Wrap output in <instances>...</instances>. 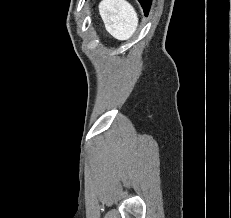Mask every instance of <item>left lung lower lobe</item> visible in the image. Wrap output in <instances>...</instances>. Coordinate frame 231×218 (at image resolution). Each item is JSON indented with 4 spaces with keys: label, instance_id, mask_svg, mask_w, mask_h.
I'll list each match as a JSON object with an SVG mask.
<instances>
[{
    "label": "left lung lower lobe",
    "instance_id": "1",
    "mask_svg": "<svg viewBox=\"0 0 231 218\" xmlns=\"http://www.w3.org/2000/svg\"><path fill=\"white\" fill-rule=\"evenodd\" d=\"M138 1L141 3L144 9L145 15H147L151 6V0H138Z\"/></svg>",
    "mask_w": 231,
    "mask_h": 218
}]
</instances>
